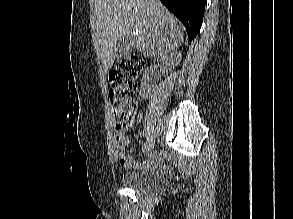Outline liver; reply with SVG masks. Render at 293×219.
Segmentation results:
<instances>
[{
  "mask_svg": "<svg viewBox=\"0 0 293 219\" xmlns=\"http://www.w3.org/2000/svg\"><path fill=\"white\" fill-rule=\"evenodd\" d=\"M94 14L93 45L105 71L111 69L124 35L146 57L169 55L184 41L183 28L159 0H96Z\"/></svg>",
  "mask_w": 293,
  "mask_h": 219,
  "instance_id": "obj_1",
  "label": "liver"
}]
</instances>
